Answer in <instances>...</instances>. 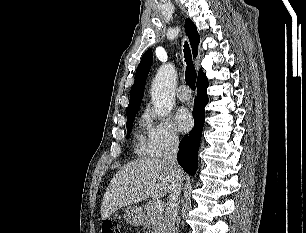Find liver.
<instances>
[{"label":"liver","mask_w":306,"mask_h":233,"mask_svg":"<svg viewBox=\"0 0 306 233\" xmlns=\"http://www.w3.org/2000/svg\"><path fill=\"white\" fill-rule=\"evenodd\" d=\"M173 181L171 168L160 159L142 158L122 167L111 180L103 197L101 218L118 209L152 197L163 198Z\"/></svg>","instance_id":"6515ba94"}]
</instances>
